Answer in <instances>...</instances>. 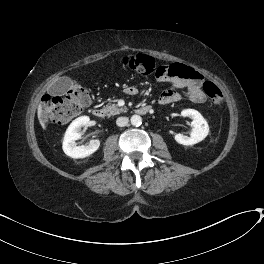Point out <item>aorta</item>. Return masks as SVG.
I'll use <instances>...</instances> for the list:
<instances>
[{
	"label": "aorta",
	"instance_id": "1",
	"mask_svg": "<svg viewBox=\"0 0 264 264\" xmlns=\"http://www.w3.org/2000/svg\"><path fill=\"white\" fill-rule=\"evenodd\" d=\"M130 121L133 126H140L142 124V118L139 115H133Z\"/></svg>",
	"mask_w": 264,
	"mask_h": 264
}]
</instances>
